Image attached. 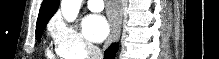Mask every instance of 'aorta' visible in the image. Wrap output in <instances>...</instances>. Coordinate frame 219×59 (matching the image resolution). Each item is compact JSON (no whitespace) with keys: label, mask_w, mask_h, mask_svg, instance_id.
I'll use <instances>...</instances> for the list:
<instances>
[{"label":"aorta","mask_w":219,"mask_h":59,"mask_svg":"<svg viewBox=\"0 0 219 59\" xmlns=\"http://www.w3.org/2000/svg\"><path fill=\"white\" fill-rule=\"evenodd\" d=\"M82 0H61V12L68 22H73L79 13Z\"/></svg>","instance_id":"obj_1"}]
</instances>
